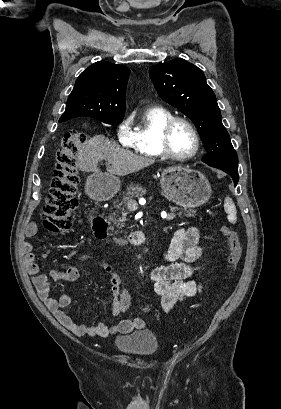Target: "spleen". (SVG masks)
<instances>
[{
    "instance_id": "3e777b00",
    "label": "spleen",
    "mask_w": 281,
    "mask_h": 409,
    "mask_svg": "<svg viewBox=\"0 0 281 409\" xmlns=\"http://www.w3.org/2000/svg\"><path fill=\"white\" fill-rule=\"evenodd\" d=\"M224 211L227 213V219L229 223H236L237 221V211L234 202L230 196H226L224 200Z\"/></svg>"
}]
</instances>
